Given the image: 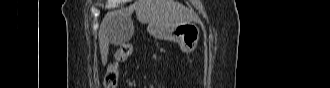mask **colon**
<instances>
[{"instance_id": "obj_1", "label": "colon", "mask_w": 330, "mask_h": 88, "mask_svg": "<svg viewBox=\"0 0 330 88\" xmlns=\"http://www.w3.org/2000/svg\"><path fill=\"white\" fill-rule=\"evenodd\" d=\"M127 45L129 51L132 50L131 44H122ZM120 47V46H119ZM127 59V56L120 55L118 50L115 53V61L111 63L104 78L103 84L105 88H114L116 87L118 77H119V65Z\"/></svg>"}]
</instances>
